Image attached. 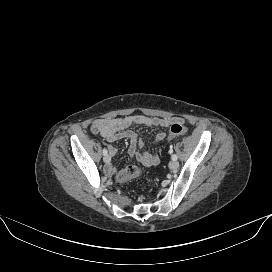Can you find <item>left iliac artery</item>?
I'll list each match as a JSON object with an SVG mask.
<instances>
[{
	"label": "left iliac artery",
	"instance_id": "44dca946",
	"mask_svg": "<svg viewBox=\"0 0 272 272\" xmlns=\"http://www.w3.org/2000/svg\"><path fill=\"white\" fill-rule=\"evenodd\" d=\"M169 152L171 153V152H172V149H170ZM171 158H172V160H177L178 157H177L176 154H173V155L171 156Z\"/></svg>",
	"mask_w": 272,
	"mask_h": 272
}]
</instances>
